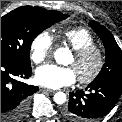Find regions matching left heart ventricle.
<instances>
[{
	"label": "left heart ventricle",
	"instance_id": "b2bd125f",
	"mask_svg": "<svg viewBox=\"0 0 122 122\" xmlns=\"http://www.w3.org/2000/svg\"><path fill=\"white\" fill-rule=\"evenodd\" d=\"M96 60L93 56L88 57L84 61L77 63L74 56L71 57L69 64L73 67L76 75H88L95 67Z\"/></svg>",
	"mask_w": 122,
	"mask_h": 122
}]
</instances>
